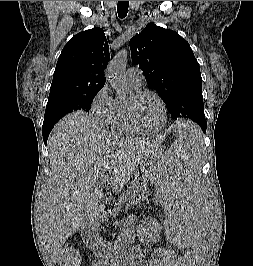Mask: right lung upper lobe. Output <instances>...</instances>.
Returning <instances> with one entry per match:
<instances>
[{
	"instance_id": "cb5924a9",
	"label": "right lung upper lobe",
	"mask_w": 253,
	"mask_h": 266,
	"mask_svg": "<svg viewBox=\"0 0 253 266\" xmlns=\"http://www.w3.org/2000/svg\"><path fill=\"white\" fill-rule=\"evenodd\" d=\"M110 60L104 31L98 27L80 32L64 46L50 87V94L99 91Z\"/></svg>"
}]
</instances>
